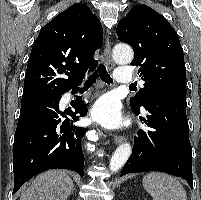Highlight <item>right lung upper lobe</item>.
Wrapping results in <instances>:
<instances>
[{"mask_svg": "<svg viewBox=\"0 0 201 200\" xmlns=\"http://www.w3.org/2000/svg\"><path fill=\"white\" fill-rule=\"evenodd\" d=\"M103 30L85 4L75 3L40 31L34 42L24 81V99L63 94L77 87L98 63Z\"/></svg>", "mask_w": 201, "mask_h": 200, "instance_id": "1", "label": "right lung upper lobe"}]
</instances>
